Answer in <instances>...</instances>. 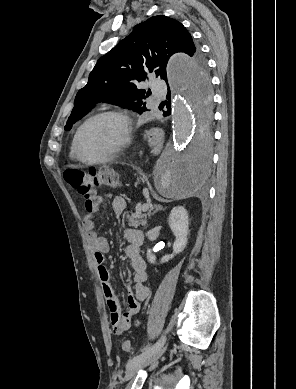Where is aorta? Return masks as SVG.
Returning a JSON list of instances; mask_svg holds the SVG:
<instances>
[{
	"label": "aorta",
	"instance_id": "1",
	"mask_svg": "<svg viewBox=\"0 0 296 389\" xmlns=\"http://www.w3.org/2000/svg\"><path fill=\"white\" fill-rule=\"evenodd\" d=\"M166 77L173 99V138L156 167L155 187L165 197L181 198L192 189H202L212 164L211 77L204 67H191V59L183 53L169 60Z\"/></svg>",
	"mask_w": 296,
	"mask_h": 389
}]
</instances>
